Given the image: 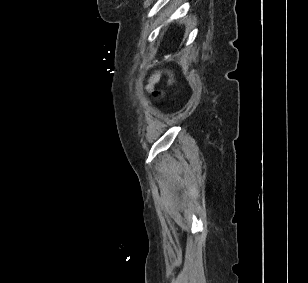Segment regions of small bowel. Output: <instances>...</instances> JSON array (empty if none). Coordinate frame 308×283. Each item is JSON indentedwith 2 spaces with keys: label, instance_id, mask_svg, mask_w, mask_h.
Listing matches in <instances>:
<instances>
[{
  "label": "small bowel",
  "instance_id": "c3829d8e",
  "mask_svg": "<svg viewBox=\"0 0 308 283\" xmlns=\"http://www.w3.org/2000/svg\"><path fill=\"white\" fill-rule=\"evenodd\" d=\"M160 74L158 72L154 73L147 84V89H151L159 80Z\"/></svg>",
  "mask_w": 308,
  "mask_h": 283
}]
</instances>
